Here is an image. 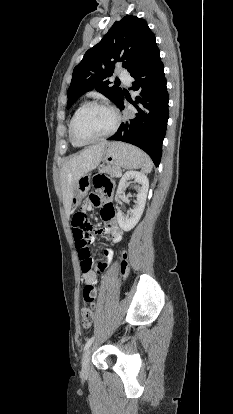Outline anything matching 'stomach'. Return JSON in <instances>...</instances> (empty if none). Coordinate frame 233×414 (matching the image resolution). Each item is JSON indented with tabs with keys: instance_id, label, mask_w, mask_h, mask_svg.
I'll list each match as a JSON object with an SVG mask.
<instances>
[{
	"instance_id": "obj_1",
	"label": "stomach",
	"mask_w": 233,
	"mask_h": 414,
	"mask_svg": "<svg viewBox=\"0 0 233 414\" xmlns=\"http://www.w3.org/2000/svg\"><path fill=\"white\" fill-rule=\"evenodd\" d=\"M102 160L106 162L107 167L133 169L142 166L144 163V153L132 145L113 142L105 147ZM89 182V174L86 172L81 174V179L78 180L75 186L73 206H77L86 195L87 191L85 189L89 186Z\"/></svg>"
}]
</instances>
